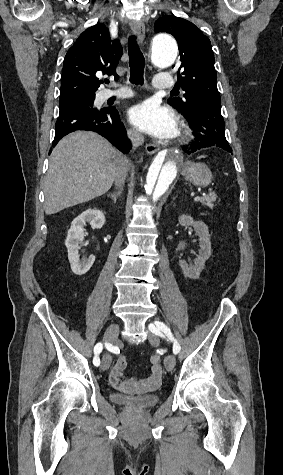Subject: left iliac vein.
<instances>
[{
    "instance_id": "obj_1",
    "label": "left iliac vein",
    "mask_w": 283,
    "mask_h": 475,
    "mask_svg": "<svg viewBox=\"0 0 283 475\" xmlns=\"http://www.w3.org/2000/svg\"><path fill=\"white\" fill-rule=\"evenodd\" d=\"M148 339L151 344H154V345L159 344V337L157 336V334H153V333L148 334ZM175 364H176V359L173 354L168 355L164 358V365L167 371H173L175 368Z\"/></svg>"
}]
</instances>
